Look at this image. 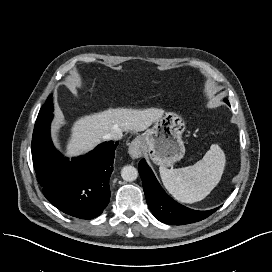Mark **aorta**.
Here are the masks:
<instances>
[{
	"mask_svg": "<svg viewBox=\"0 0 272 272\" xmlns=\"http://www.w3.org/2000/svg\"><path fill=\"white\" fill-rule=\"evenodd\" d=\"M121 176L125 181L132 182L137 179L138 170L134 166L127 165L122 168Z\"/></svg>",
	"mask_w": 272,
	"mask_h": 272,
	"instance_id": "aorta-1",
	"label": "aorta"
}]
</instances>
